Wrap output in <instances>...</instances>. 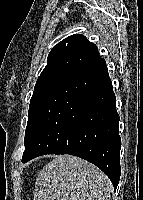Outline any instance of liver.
I'll return each instance as SVG.
<instances>
[{
	"label": "liver",
	"mask_w": 143,
	"mask_h": 200,
	"mask_svg": "<svg viewBox=\"0 0 143 200\" xmlns=\"http://www.w3.org/2000/svg\"><path fill=\"white\" fill-rule=\"evenodd\" d=\"M111 182L95 165L58 155L39 172L33 200H109Z\"/></svg>",
	"instance_id": "liver-1"
}]
</instances>
